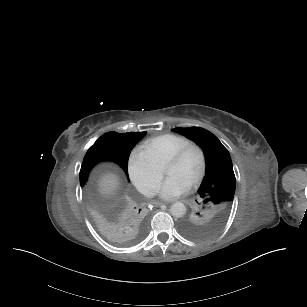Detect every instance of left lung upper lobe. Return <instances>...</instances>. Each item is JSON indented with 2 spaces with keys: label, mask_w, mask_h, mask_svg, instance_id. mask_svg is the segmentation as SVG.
<instances>
[{
  "label": "left lung upper lobe",
  "mask_w": 307,
  "mask_h": 307,
  "mask_svg": "<svg viewBox=\"0 0 307 307\" xmlns=\"http://www.w3.org/2000/svg\"><path fill=\"white\" fill-rule=\"evenodd\" d=\"M203 150L206 172L197 192L193 213L182 220V233L202 240L215 235L228 217L235 193L236 179L228 150L219 139L203 128H175Z\"/></svg>",
  "instance_id": "5c2ea615"
}]
</instances>
